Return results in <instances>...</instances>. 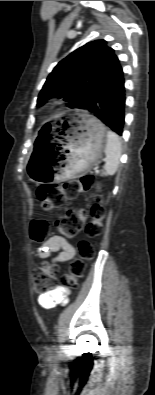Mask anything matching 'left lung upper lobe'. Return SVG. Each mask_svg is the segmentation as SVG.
<instances>
[{"mask_svg": "<svg viewBox=\"0 0 155 395\" xmlns=\"http://www.w3.org/2000/svg\"><path fill=\"white\" fill-rule=\"evenodd\" d=\"M119 59L105 40L89 42L60 61L48 76L37 100L43 105L52 97L69 101L70 108H79L102 79L113 70Z\"/></svg>", "mask_w": 155, "mask_h": 395, "instance_id": "5c2ea615", "label": "left lung upper lobe"}]
</instances>
